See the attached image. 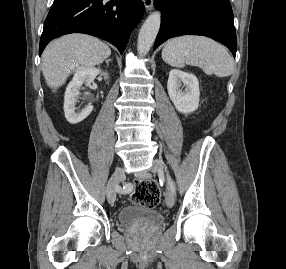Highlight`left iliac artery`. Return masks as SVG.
<instances>
[{"mask_svg": "<svg viewBox=\"0 0 286 269\" xmlns=\"http://www.w3.org/2000/svg\"><path fill=\"white\" fill-rule=\"evenodd\" d=\"M169 184H170V187H171L173 193H175V185H174L173 181L170 178H169Z\"/></svg>", "mask_w": 286, "mask_h": 269, "instance_id": "1", "label": "left iliac artery"}]
</instances>
